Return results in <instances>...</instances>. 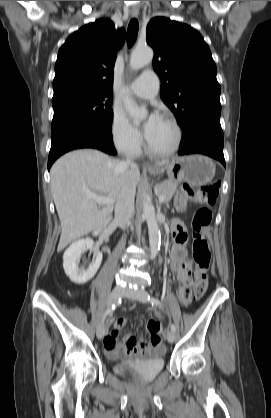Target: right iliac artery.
<instances>
[{"instance_id": "right-iliac-artery-1", "label": "right iliac artery", "mask_w": 271, "mask_h": 418, "mask_svg": "<svg viewBox=\"0 0 271 418\" xmlns=\"http://www.w3.org/2000/svg\"><path fill=\"white\" fill-rule=\"evenodd\" d=\"M121 302V300H119V302L118 303H120ZM118 303L117 304H114V305H112L111 306V308H109L108 310H106V312L104 313V315H103V317H102V321H104L105 320V318H106V316L108 315V314H111L115 309H116V306L118 305Z\"/></svg>"}]
</instances>
